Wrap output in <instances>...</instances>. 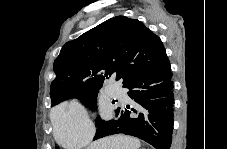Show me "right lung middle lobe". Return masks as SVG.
Instances as JSON below:
<instances>
[{
    "instance_id": "obj_1",
    "label": "right lung middle lobe",
    "mask_w": 227,
    "mask_h": 149,
    "mask_svg": "<svg viewBox=\"0 0 227 149\" xmlns=\"http://www.w3.org/2000/svg\"><path fill=\"white\" fill-rule=\"evenodd\" d=\"M98 89H94L92 91H90L89 93L85 94V95H82L80 97H78L79 99L82 100V102L90 107V108H95L96 107V104H97V94H98ZM53 105V104H52ZM104 121L101 120L100 118L97 119V123H96V126H99L101 123H103Z\"/></svg>"
}]
</instances>
